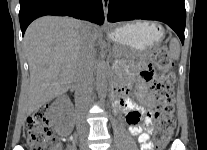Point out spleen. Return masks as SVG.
Here are the masks:
<instances>
[{
	"mask_svg": "<svg viewBox=\"0 0 207 150\" xmlns=\"http://www.w3.org/2000/svg\"><path fill=\"white\" fill-rule=\"evenodd\" d=\"M169 48L171 57L177 59L180 54V44L176 38L170 40Z\"/></svg>",
	"mask_w": 207,
	"mask_h": 150,
	"instance_id": "1",
	"label": "spleen"
}]
</instances>
